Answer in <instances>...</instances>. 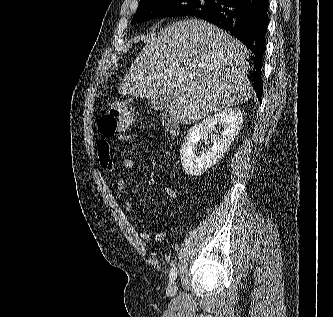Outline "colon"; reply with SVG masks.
<instances>
[{
	"mask_svg": "<svg viewBox=\"0 0 333 317\" xmlns=\"http://www.w3.org/2000/svg\"><path fill=\"white\" fill-rule=\"evenodd\" d=\"M134 123L132 109L122 102H113L99 120V131L105 137L129 130Z\"/></svg>",
	"mask_w": 333,
	"mask_h": 317,
	"instance_id": "1",
	"label": "colon"
}]
</instances>
